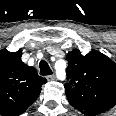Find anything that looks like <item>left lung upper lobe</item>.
Instances as JSON below:
<instances>
[{
  "mask_svg": "<svg viewBox=\"0 0 116 116\" xmlns=\"http://www.w3.org/2000/svg\"><path fill=\"white\" fill-rule=\"evenodd\" d=\"M67 79L78 81L74 90L65 84L69 103L85 115H97L116 105V63L99 51L83 56L79 50L67 54Z\"/></svg>",
  "mask_w": 116,
  "mask_h": 116,
  "instance_id": "left-lung-upper-lobe-1",
  "label": "left lung upper lobe"
}]
</instances>
